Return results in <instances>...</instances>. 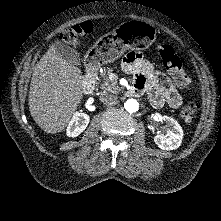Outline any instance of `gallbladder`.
Wrapping results in <instances>:
<instances>
[{
    "instance_id": "bac80fb5",
    "label": "gallbladder",
    "mask_w": 221,
    "mask_h": 221,
    "mask_svg": "<svg viewBox=\"0 0 221 221\" xmlns=\"http://www.w3.org/2000/svg\"><path fill=\"white\" fill-rule=\"evenodd\" d=\"M53 46L57 55H59L60 57H62L63 59H65L73 65H80V54L77 50L60 41H56Z\"/></svg>"
}]
</instances>
